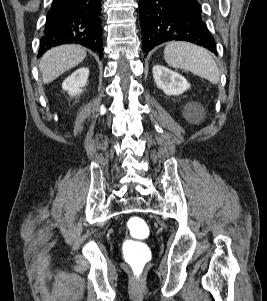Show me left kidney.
Here are the masks:
<instances>
[{"instance_id":"5707ae66","label":"left kidney","mask_w":267,"mask_h":301,"mask_svg":"<svg viewBox=\"0 0 267 301\" xmlns=\"http://www.w3.org/2000/svg\"><path fill=\"white\" fill-rule=\"evenodd\" d=\"M152 73L157 87L168 96L180 95L190 88L185 77L162 65H155Z\"/></svg>"}]
</instances>
